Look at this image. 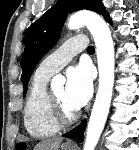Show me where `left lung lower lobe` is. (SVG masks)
Wrapping results in <instances>:
<instances>
[{
	"label": "left lung lower lobe",
	"mask_w": 139,
	"mask_h": 150,
	"mask_svg": "<svg viewBox=\"0 0 139 150\" xmlns=\"http://www.w3.org/2000/svg\"><path fill=\"white\" fill-rule=\"evenodd\" d=\"M105 19L108 22H111V19L107 13V15L105 16ZM86 128V121H83L80 125H78L76 128H74L73 130L65 133L63 136L67 137V138H71L74 139L77 142H82L83 141V133L85 131Z\"/></svg>",
	"instance_id": "left-lung-lower-lobe-1"
}]
</instances>
